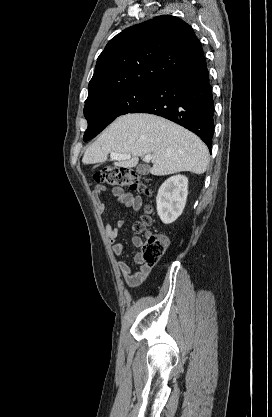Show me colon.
<instances>
[{
	"label": "colon",
	"instance_id": "colon-1",
	"mask_svg": "<svg viewBox=\"0 0 272 417\" xmlns=\"http://www.w3.org/2000/svg\"><path fill=\"white\" fill-rule=\"evenodd\" d=\"M93 178L96 182L107 184L114 187H127L138 192L148 193L147 181L127 168L105 167L94 173ZM150 223L148 216L136 223L135 230L144 232ZM169 245V239L163 234L146 233L142 248L141 259L143 264L148 266L155 265L164 255Z\"/></svg>",
	"mask_w": 272,
	"mask_h": 417
}]
</instances>
